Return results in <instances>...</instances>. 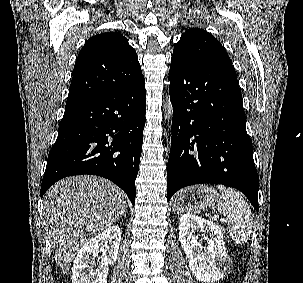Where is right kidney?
I'll use <instances>...</instances> for the list:
<instances>
[{"mask_svg":"<svg viewBox=\"0 0 303 283\" xmlns=\"http://www.w3.org/2000/svg\"><path fill=\"white\" fill-rule=\"evenodd\" d=\"M121 241L118 226H112L90 239L77 253L72 267V283H107L108 266L114 264ZM102 252L97 270H89V258Z\"/></svg>","mask_w":303,"mask_h":283,"instance_id":"right-kidney-1","label":"right kidney"}]
</instances>
